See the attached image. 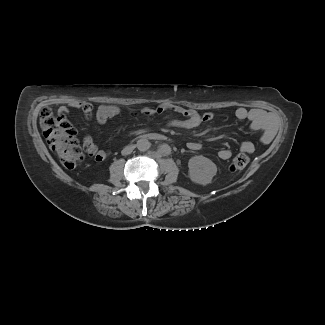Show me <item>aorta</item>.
I'll use <instances>...</instances> for the list:
<instances>
[{"label":"aorta","instance_id":"obj_1","mask_svg":"<svg viewBox=\"0 0 325 325\" xmlns=\"http://www.w3.org/2000/svg\"><path fill=\"white\" fill-rule=\"evenodd\" d=\"M150 147H151V143L145 138L139 139L137 141V148L141 152L147 151Z\"/></svg>","mask_w":325,"mask_h":325}]
</instances>
